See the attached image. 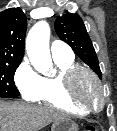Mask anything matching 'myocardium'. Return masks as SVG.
I'll list each match as a JSON object with an SVG mask.
<instances>
[{
  "instance_id": "f54148a6",
  "label": "myocardium",
  "mask_w": 117,
  "mask_h": 131,
  "mask_svg": "<svg viewBox=\"0 0 117 131\" xmlns=\"http://www.w3.org/2000/svg\"><path fill=\"white\" fill-rule=\"evenodd\" d=\"M85 78H90L99 91V99L92 102L86 99L80 92V86ZM65 90L68 97L77 105L87 109L90 112L102 110L106 103V93L100 78L89 68L76 67L70 70L65 76Z\"/></svg>"
}]
</instances>
